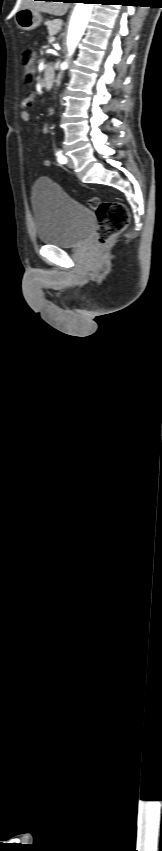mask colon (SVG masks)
Segmentation results:
<instances>
[{
  "label": "colon",
  "mask_w": 162,
  "mask_h": 851,
  "mask_svg": "<svg viewBox=\"0 0 162 851\" xmlns=\"http://www.w3.org/2000/svg\"><path fill=\"white\" fill-rule=\"evenodd\" d=\"M36 59V52L32 48L23 49L22 63L27 84L33 82ZM89 205L96 211L98 218L96 245L102 247L127 227L130 219L129 211L120 201H100L98 198H91Z\"/></svg>",
  "instance_id": "colon-1"
}]
</instances>
